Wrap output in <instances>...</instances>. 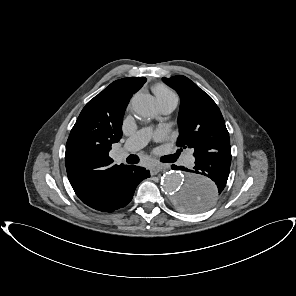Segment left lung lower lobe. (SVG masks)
Wrapping results in <instances>:
<instances>
[{"instance_id":"obj_1","label":"left lung lower lobe","mask_w":296,"mask_h":296,"mask_svg":"<svg viewBox=\"0 0 296 296\" xmlns=\"http://www.w3.org/2000/svg\"><path fill=\"white\" fill-rule=\"evenodd\" d=\"M231 164V147L223 148L216 153H207L204 157L196 158L195 166L193 169H187L183 166L173 165V169H180L190 174L188 177L195 176H208L215 182V190L199 193L200 197L185 196L183 202H185V209L189 211L201 212L209 208L222 193L227 179L229 176Z\"/></svg>"}]
</instances>
